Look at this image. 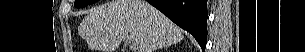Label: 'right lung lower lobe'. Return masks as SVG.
Returning a JSON list of instances; mask_svg holds the SVG:
<instances>
[{
	"label": "right lung lower lobe",
	"mask_w": 305,
	"mask_h": 52,
	"mask_svg": "<svg viewBox=\"0 0 305 52\" xmlns=\"http://www.w3.org/2000/svg\"><path fill=\"white\" fill-rule=\"evenodd\" d=\"M193 35L202 50L207 42V0H147Z\"/></svg>",
	"instance_id": "right-lung-lower-lobe-1"
}]
</instances>
